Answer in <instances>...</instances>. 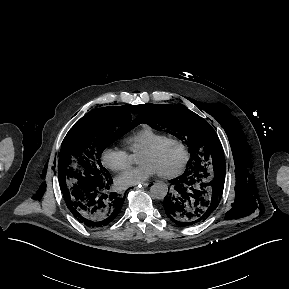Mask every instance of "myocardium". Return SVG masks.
<instances>
[{
    "label": "myocardium",
    "instance_id": "f54148a6",
    "mask_svg": "<svg viewBox=\"0 0 289 289\" xmlns=\"http://www.w3.org/2000/svg\"><path fill=\"white\" fill-rule=\"evenodd\" d=\"M170 143L178 144L182 148L184 156H183V160L180 166L177 169L171 172L159 173V175L163 178H174L184 172L190 160V150H189L188 145L180 138L167 136L166 138L160 140L159 142L141 151V152H147V153H155V152H158L165 145L170 144Z\"/></svg>",
    "mask_w": 289,
    "mask_h": 289
}]
</instances>
